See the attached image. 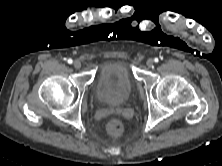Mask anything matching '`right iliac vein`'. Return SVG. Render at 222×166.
Here are the masks:
<instances>
[{
    "label": "right iliac vein",
    "mask_w": 222,
    "mask_h": 166,
    "mask_svg": "<svg viewBox=\"0 0 222 166\" xmlns=\"http://www.w3.org/2000/svg\"><path fill=\"white\" fill-rule=\"evenodd\" d=\"M73 66H74V68H76V69H80V68H81V62H80L79 60H75V61L73 62Z\"/></svg>",
    "instance_id": "obj_1"
}]
</instances>
